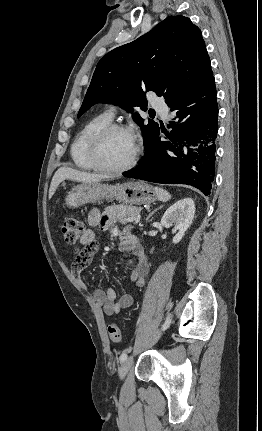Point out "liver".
I'll return each mask as SVG.
<instances>
[{"label":"liver","mask_w":262,"mask_h":431,"mask_svg":"<svg viewBox=\"0 0 262 431\" xmlns=\"http://www.w3.org/2000/svg\"><path fill=\"white\" fill-rule=\"evenodd\" d=\"M108 178H110V176L108 175L92 174V173L79 171L70 167H61L55 172L52 178L50 188H49V199L52 198L59 184L64 180H72V181L82 182V183H92V182H100Z\"/></svg>","instance_id":"6515ba94"}]
</instances>
